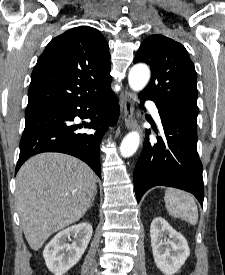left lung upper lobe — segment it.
Here are the masks:
<instances>
[{
	"label": "left lung upper lobe",
	"instance_id": "5c2ea615",
	"mask_svg": "<svg viewBox=\"0 0 225 275\" xmlns=\"http://www.w3.org/2000/svg\"><path fill=\"white\" fill-rule=\"evenodd\" d=\"M150 66L151 81L140 93L158 108L197 120V74L180 43L162 35H151L141 44L134 63Z\"/></svg>",
	"mask_w": 225,
	"mask_h": 275
}]
</instances>
